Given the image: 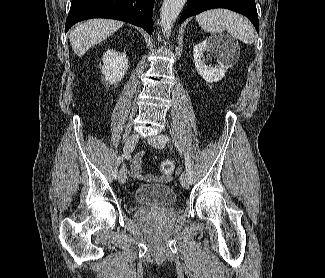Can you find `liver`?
<instances>
[{
    "mask_svg": "<svg viewBox=\"0 0 325 278\" xmlns=\"http://www.w3.org/2000/svg\"><path fill=\"white\" fill-rule=\"evenodd\" d=\"M123 26V22L111 19H90L70 31L69 40L74 52L83 56L92 46L105 40Z\"/></svg>",
    "mask_w": 325,
    "mask_h": 278,
    "instance_id": "obj_1",
    "label": "liver"
}]
</instances>
